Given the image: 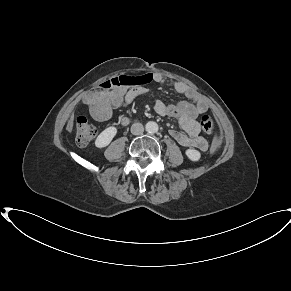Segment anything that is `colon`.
Listing matches in <instances>:
<instances>
[{
    "label": "colon",
    "mask_w": 291,
    "mask_h": 291,
    "mask_svg": "<svg viewBox=\"0 0 291 291\" xmlns=\"http://www.w3.org/2000/svg\"><path fill=\"white\" fill-rule=\"evenodd\" d=\"M139 78L121 75L106 80L96 86L95 93L101 97L104 92L113 88H126L136 84ZM200 124L203 131L209 135H215L217 131L216 120L210 114H204L200 118ZM76 141L80 145L88 144L96 134L95 128L91 125L85 116H78L75 121ZM217 141L214 140V147Z\"/></svg>",
    "instance_id": "5ec220e1"
}]
</instances>
